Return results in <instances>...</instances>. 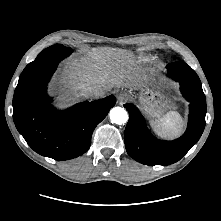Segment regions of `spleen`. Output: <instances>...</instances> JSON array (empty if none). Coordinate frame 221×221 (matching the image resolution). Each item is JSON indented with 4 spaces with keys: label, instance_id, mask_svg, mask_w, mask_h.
Segmentation results:
<instances>
[{
    "label": "spleen",
    "instance_id": "1",
    "mask_svg": "<svg viewBox=\"0 0 221 221\" xmlns=\"http://www.w3.org/2000/svg\"><path fill=\"white\" fill-rule=\"evenodd\" d=\"M150 125L158 136L173 138L183 132L184 120L178 112L169 111L162 118L151 121Z\"/></svg>",
    "mask_w": 221,
    "mask_h": 221
}]
</instances>
